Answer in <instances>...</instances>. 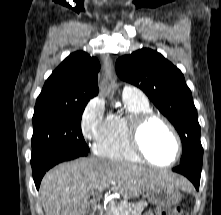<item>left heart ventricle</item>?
<instances>
[{
  "label": "left heart ventricle",
  "mask_w": 221,
  "mask_h": 215,
  "mask_svg": "<svg viewBox=\"0 0 221 215\" xmlns=\"http://www.w3.org/2000/svg\"><path fill=\"white\" fill-rule=\"evenodd\" d=\"M141 142L147 155L159 164L169 163L175 156L174 138L159 120H152L146 125Z\"/></svg>",
  "instance_id": "obj_1"
}]
</instances>
